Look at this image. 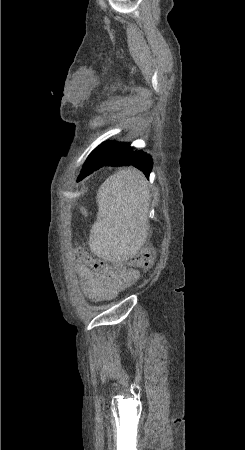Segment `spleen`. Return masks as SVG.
<instances>
[{"label": "spleen", "instance_id": "obj_1", "mask_svg": "<svg viewBox=\"0 0 245 450\" xmlns=\"http://www.w3.org/2000/svg\"><path fill=\"white\" fill-rule=\"evenodd\" d=\"M150 191L142 172L134 168L108 177L97 193L98 214L89 247L108 261L127 260L143 246L149 231Z\"/></svg>", "mask_w": 245, "mask_h": 450}]
</instances>
